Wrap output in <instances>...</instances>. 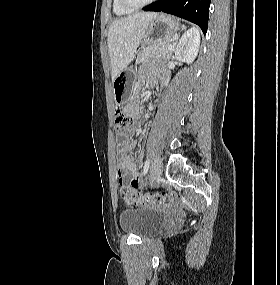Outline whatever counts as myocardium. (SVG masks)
I'll list each match as a JSON object with an SVG mask.
<instances>
[{
	"label": "myocardium",
	"instance_id": "1",
	"mask_svg": "<svg viewBox=\"0 0 280 285\" xmlns=\"http://www.w3.org/2000/svg\"><path fill=\"white\" fill-rule=\"evenodd\" d=\"M119 1L124 8L134 11V10H138V9L143 8V7H146V6L154 3L156 0H146L145 2L140 3V4L133 3L130 0H119Z\"/></svg>",
	"mask_w": 280,
	"mask_h": 285
}]
</instances>
